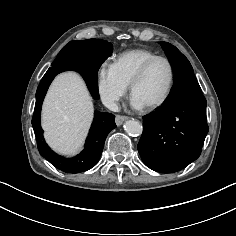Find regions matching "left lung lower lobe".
<instances>
[{
  "label": "left lung lower lobe",
  "instance_id": "0a47b994",
  "mask_svg": "<svg viewBox=\"0 0 236 236\" xmlns=\"http://www.w3.org/2000/svg\"><path fill=\"white\" fill-rule=\"evenodd\" d=\"M206 104L194 73L174 81L163 105L143 117L137 148L147 167L174 173L200 156L208 132Z\"/></svg>",
  "mask_w": 236,
  "mask_h": 236
}]
</instances>
